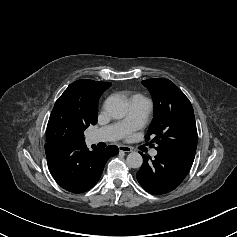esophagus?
Returning a JSON list of instances; mask_svg holds the SVG:
<instances>
[{
	"label": "esophagus",
	"mask_w": 237,
	"mask_h": 237,
	"mask_svg": "<svg viewBox=\"0 0 237 237\" xmlns=\"http://www.w3.org/2000/svg\"><path fill=\"white\" fill-rule=\"evenodd\" d=\"M118 148H119L120 152H127L128 153V152L132 151V148L129 146L120 145Z\"/></svg>",
	"instance_id": "obj_1"
}]
</instances>
